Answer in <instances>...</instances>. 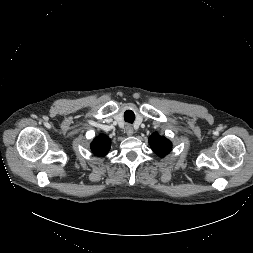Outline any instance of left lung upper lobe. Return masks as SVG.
Instances as JSON below:
<instances>
[{
  "instance_id": "obj_1",
  "label": "left lung upper lobe",
  "mask_w": 253,
  "mask_h": 253,
  "mask_svg": "<svg viewBox=\"0 0 253 253\" xmlns=\"http://www.w3.org/2000/svg\"><path fill=\"white\" fill-rule=\"evenodd\" d=\"M149 144L152 150L160 157L167 155L172 148V143L165 137L160 136L157 132L149 137Z\"/></svg>"
}]
</instances>
